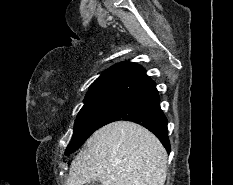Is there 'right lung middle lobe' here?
Wrapping results in <instances>:
<instances>
[{
  "label": "right lung middle lobe",
  "mask_w": 233,
  "mask_h": 185,
  "mask_svg": "<svg viewBox=\"0 0 233 185\" xmlns=\"http://www.w3.org/2000/svg\"><path fill=\"white\" fill-rule=\"evenodd\" d=\"M129 93L124 89H108L88 92L84 106L77 115L74 134L65 155L76 151L98 129L104 117Z\"/></svg>",
  "instance_id": "dd1d6c3e"
}]
</instances>
